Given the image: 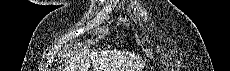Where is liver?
<instances>
[{
    "mask_svg": "<svg viewBox=\"0 0 230 71\" xmlns=\"http://www.w3.org/2000/svg\"><path fill=\"white\" fill-rule=\"evenodd\" d=\"M135 56L123 57L120 53L110 50H92L87 48L73 52L69 59V70L67 71H88L91 64L94 71H141L144 63L134 61ZM137 59V58H136ZM133 69V70H130Z\"/></svg>",
    "mask_w": 230,
    "mask_h": 71,
    "instance_id": "obj_1",
    "label": "liver"
}]
</instances>
